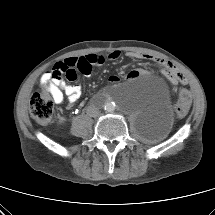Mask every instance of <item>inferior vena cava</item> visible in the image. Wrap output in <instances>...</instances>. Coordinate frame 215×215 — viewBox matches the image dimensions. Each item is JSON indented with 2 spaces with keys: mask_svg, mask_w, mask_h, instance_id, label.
I'll return each instance as SVG.
<instances>
[{
  "mask_svg": "<svg viewBox=\"0 0 215 215\" xmlns=\"http://www.w3.org/2000/svg\"><path fill=\"white\" fill-rule=\"evenodd\" d=\"M87 115L90 117H98L100 115V111L98 108L94 106H88L86 110Z\"/></svg>",
  "mask_w": 215,
  "mask_h": 215,
  "instance_id": "inferior-vena-cava-1",
  "label": "inferior vena cava"
}]
</instances>
